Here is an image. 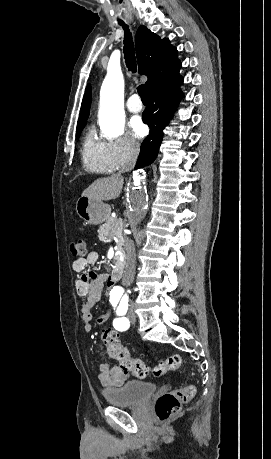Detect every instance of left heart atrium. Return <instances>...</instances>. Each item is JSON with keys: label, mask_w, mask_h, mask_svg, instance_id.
Wrapping results in <instances>:
<instances>
[{"label": "left heart atrium", "mask_w": 271, "mask_h": 459, "mask_svg": "<svg viewBox=\"0 0 271 459\" xmlns=\"http://www.w3.org/2000/svg\"><path fill=\"white\" fill-rule=\"evenodd\" d=\"M131 129L136 138H141L145 133V127L140 119L134 118L131 121Z\"/></svg>", "instance_id": "left-heart-atrium-1"}]
</instances>
